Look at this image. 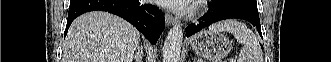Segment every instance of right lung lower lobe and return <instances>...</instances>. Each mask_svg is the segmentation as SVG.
<instances>
[{"instance_id":"1","label":"right lung lower lobe","mask_w":331,"mask_h":62,"mask_svg":"<svg viewBox=\"0 0 331 62\" xmlns=\"http://www.w3.org/2000/svg\"><path fill=\"white\" fill-rule=\"evenodd\" d=\"M107 11L134 25L152 44L165 28L164 15L156 6L139 0H70L65 36L72 21L89 11Z\"/></svg>"}]
</instances>
